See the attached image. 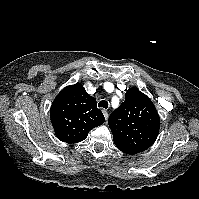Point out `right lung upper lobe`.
<instances>
[{
	"label": "right lung upper lobe",
	"instance_id": "right-lung-upper-lobe-1",
	"mask_svg": "<svg viewBox=\"0 0 199 199\" xmlns=\"http://www.w3.org/2000/svg\"><path fill=\"white\" fill-rule=\"evenodd\" d=\"M50 118L58 139L69 144L83 141L91 129L105 122L96 99L80 83L65 87L56 96Z\"/></svg>",
	"mask_w": 199,
	"mask_h": 199
}]
</instances>
